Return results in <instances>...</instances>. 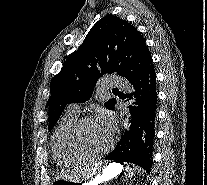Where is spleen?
<instances>
[{"label":"spleen","mask_w":207,"mask_h":185,"mask_svg":"<svg viewBox=\"0 0 207 185\" xmlns=\"http://www.w3.org/2000/svg\"><path fill=\"white\" fill-rule=\"evenodd\" d=\"M126 171H141V166H136V162H127ZM130 177H145V172H130Z\"/></svg>","instance_id":"1"}]
</instances>
